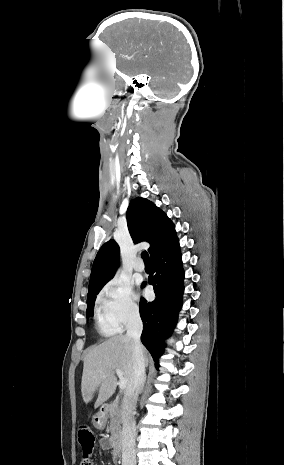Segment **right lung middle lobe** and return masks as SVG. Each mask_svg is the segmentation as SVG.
Instances as JSON below:
<instances>
[{
  "instance_id": "right-lung-middle-lobe-1",
  "label": "right lung middle lobe",
  "mask_w": 284,
  "mask_h": 465,
  "mask_svg": "<svg viewBox=\"0 0 284 465\" xmlns=\"http://www.w3.org/2000/svg\"><path fill=\"white\" fill-rule=\"evenodd\" d=\"M97 294H98V292L96 294H92V295L88 296L87 310H86L87 317L93 315L94 302H95V297H96Z\"/></svg>"
}]
</instances>
